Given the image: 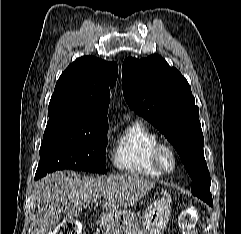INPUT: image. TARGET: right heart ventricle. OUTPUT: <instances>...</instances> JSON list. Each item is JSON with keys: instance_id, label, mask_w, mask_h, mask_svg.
<instances>
[{"instance_id": "e07e8e85", "label": "right heart ventricle", "mask_w": 241, "mask_h": 234, "mask_svg": "<svg viewBox=\"0 0 241 234\" xmlns=\"http://www.w3.org/2000/svg\"><path fill=\"white\" fill-rule=\"evenodd\" d=\"M159 138L141 121L131 122L116 140L111 159L114 167L123 173L158 177L161 172L154 166L151 153Z\"/></svg>"}]
</instances>
